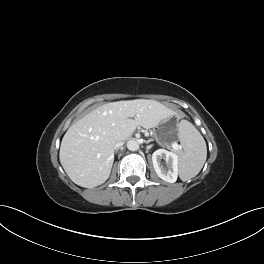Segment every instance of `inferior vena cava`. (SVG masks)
Wrapping results in <instances>:
<instances>
[{
	"label": "inferior vena cava",
	"instance_id": "602c4592",
	"mask_svg": "<svg viewBox=\"0 0 264 264\" xmlns=\"http://www.w3.org/2000/svg\"><path fill=\"white\" fill-rule=\"evenodd\" d=\"M122 144H123V142L119 140V141H117V142L115 143L114 148L117 149V148H119L120 146H122Z\"/></svg>",
	"mask_w": 264,
	"mask_h": 264
}]
</instances>
